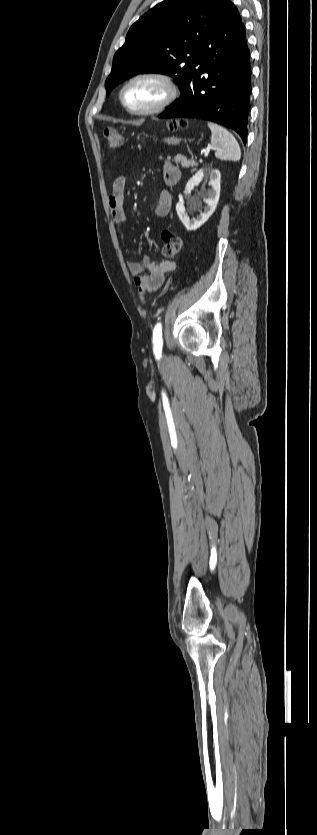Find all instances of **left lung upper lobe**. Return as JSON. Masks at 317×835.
<instances>
[{
    "instance_id": "obj_1",
    "label": "left lung upper lobe",
    "mask_w": 317,
    "mask_h": 835,
    "mask_svg": "<svg viewBox=\"0 0 317 835\" xmlns=\"http://www.w3.org/2000/svg\"><path fill=\"white\" fill-rule=\"evenodd\" d=\"M229 0H166L129 29L116 52L105 86L107 96L123 80L139 73H162L182 91L198 53L230 6Z\"/></svg>"
}]
</instances>
